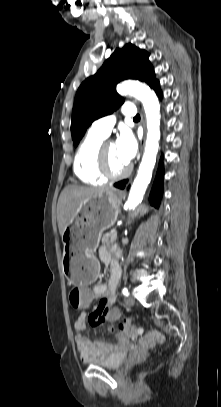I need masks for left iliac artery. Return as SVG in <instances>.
<instances>
[{"instance_id":"44dca946","label":"left iliac artery","mask_w":221,"mask_h":407,"mask_svg":"<svg viewBox=\"0 0 221 407\" xmlns=\"http://www.w3.org/2000/svg\"><path fill=\"white\" fill-rule=\"evenodd\" d=\"M122 294H123L124 296H128V295H129L128 289H127V288H123V289H122Z\"/></svg>"}]
</instances>
